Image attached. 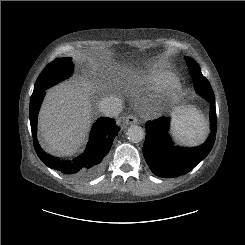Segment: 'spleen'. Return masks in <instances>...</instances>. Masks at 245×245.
Masks as SVG:
<instances>
[{
	"label": "spleen",
	"mask_w": 245,
	"mask_h": 245,
	"mask_svg": "<svg viewBox=\"0 0 245 245\" xmlns=\"http://www.w3.org/2000/svg\"><path fill=\"white\" fill-rule=\"evenodd\" d=\"M172 134L184 145L197 146L205 141L208 125L204 116L196 108H183V112L172 122Z\"/></svg>",
	"instance_id": "obj_1"
}]
</instances>
